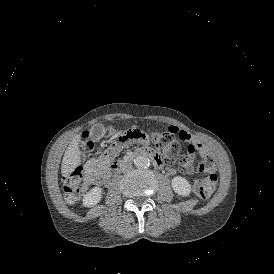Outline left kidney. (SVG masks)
<instances>
[{"mask_svg":"<svg viewBox=\"0 0 274 274\" xmlns=\"http://www.w3.org/2000/svg\"><path fill=\"white\" fill-rule=\"evenodd\" d=\"M172 188L173 190L181 196H188L191 192V186L189 182L181 177V176H176L172 179Z\"/></svg>","mask_w":274,"mask_h":274,"instance_id":"left-kidney-1","label":"left kidney"}]
</instances>
